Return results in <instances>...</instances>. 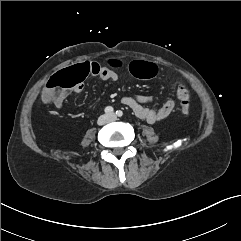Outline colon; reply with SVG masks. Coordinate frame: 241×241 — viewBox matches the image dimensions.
<instances>
[{"mask_svg":"<svg viewBox=\"0 0 241 241\" xmlns=\"http://www.w3.org/2000/svg\"><path fill=\"white\" fill-rule=\"evenodd\" d=\"M110 66L121 68L123 63L119 60L109 61ZM131 72L137 77L149 78L156 74V66L152 63L133 62L130 65ZM91 66L85 60H79L74 65L62 69L52 75L46 84L44 100L46 102L63 101L65 94L70 89H75L82 80L90 73ZM180 100V110L184 115L190 113L189 93L187 89L181 88L177 92Z\"/></svg>","mask_w":241,"mask_h":241,"instance_id":"colon-1","label":"colon"}]
</instances>
